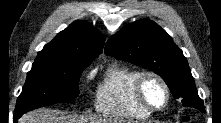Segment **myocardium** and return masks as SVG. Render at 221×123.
<instances>
[{
    "instance_id": "f54148a6",
    "label": "myocardium",
    "mask_w": 221,
    "mask_h": 123,
    "mask_svg": "<svg viewBox=\"0 0 221 123\" xmlns=\"http://www.w3.org/2000/svg\"><path fill=\"white\" fill-rule=\"evenodd\" d=\"M147 79H154L156 80L163 88L164 92H165V101L164 103L159 106V107H155L153 105H151L145 95H144V91H143V87H144V83L146 82ZM134 95L136 100L138 101V103L147 111H149L150 113L153 112H159L164 110L170 101V96H171V92H170V88L167 84V82L165 81V79L159 75L158 73L154 72V71H142L138 74V76L135 79L134 82Z\"/></svg>"
}]
</instances>
